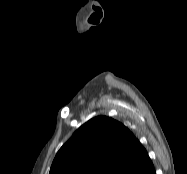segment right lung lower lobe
<instances>
[{"mask_svg":"<svg viewBox=\"0 0 187 174\" xmlns=\"http://www.w3.org/2000/svg\"><path fill=\"white\" fill-rule=\"evenodd\" d=\"M151 174H156V173H155V170H154L153 172H151Z\"/></svg>","mask_w":187,"mask_h":174,"instance_id":"1","label":"right lung lower lobe"}]
</instances>
